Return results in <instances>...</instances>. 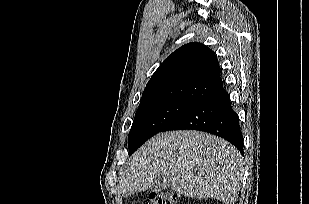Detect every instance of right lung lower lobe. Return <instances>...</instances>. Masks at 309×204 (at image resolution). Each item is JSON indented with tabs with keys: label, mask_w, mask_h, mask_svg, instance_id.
<instances>
[{
	"label": "right lung lower lobe",
	"mask_w": 309,
	"mask_h": 204,
	"mask_svg": "<svg viewBox=\"0 0 309 204\" xmlns=\"http://www.w3.org/2000/svg\"><path fill=\"white\" fill-rule=\"evenodd\" d=\"M184 129L204 131L222 137L236 146L244 155L239 118L233 111L229 95L225 90L197 103L161 132Z\"/></svg>",
	"instance_id": "1"
}]
</instances>
